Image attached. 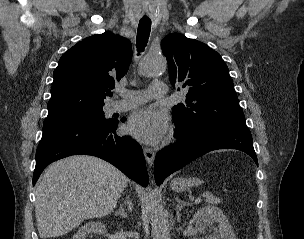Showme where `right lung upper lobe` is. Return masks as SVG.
<instances>
[{
    "mask_svg": "<svg viewBox=\"0 0 304 239\" xmlns=\"http://www.w3.org/2000/svg\"><path fill=\"white\" fill-rule=\"evenodd\" d=\"M131 58L130 41L109 32L74 45L54 70L47 118L103 107L104 98L112 96L114 81L125 75Z\"/></svg>",
    "mask_w": 304,
    "mask_h": 239,
    "instance_id": "right-lung-upper-lobe-1",
    "label": "right lung upper lobe"
}]
</instances>
